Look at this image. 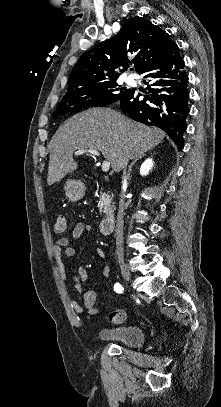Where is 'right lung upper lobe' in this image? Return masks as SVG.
<instances>
[{
    "mask_svg": "<svg viewBox=\"0 0 221 407\" xmlns=\"http://www.w3.org/2000/svg\"><path fill=\"white\" fill-rule=\"evenodd\" d=\"M173 43L168 33L148 20H127L117 35L79 58L69 76L67 92L116 81L129 64L140 74L165 56Z\"/></svg>",
    "mask_w": 221,
    "mask_h": 407,
    "instance_id": "obj_1",
    "label": "right lung upper lobe"
}]
</instances>
